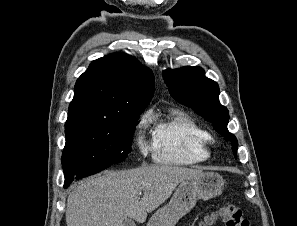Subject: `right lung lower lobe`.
Returning a JSON list of instances; mask_svg holds the SVG:
<instances>
[{
    "label": "right lung lower lobe",
    "instance_id": "1",
    "mask_svg": "<svg viewBox=\"0 0 297 226\" xmlns=\"http://www.w3.org/2000/svg\"><path fill=\"white\" fill-rule=\"evenodd\" d=\"M99 171H101V170L93 169V170L82 172V173H80L78 175L69 176L68 178L65 179L64 188H67L72 183V181L74 179H80V178L95 174V173H97Z\"/></svg>",
    "mask_w": 297,
    "mask_h": 226
}]
</instances>
